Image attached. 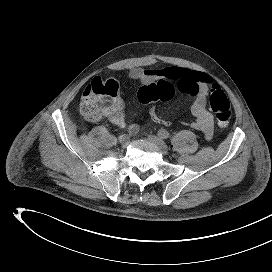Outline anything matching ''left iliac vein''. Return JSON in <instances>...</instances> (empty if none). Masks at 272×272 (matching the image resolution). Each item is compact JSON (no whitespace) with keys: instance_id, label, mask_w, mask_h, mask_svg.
I'll return each mask as SVG.
<instances>
[{"instance_id":"4c4485c4","label":"left iliac vein","mask_w":272,"mask_h":272,"mask_svg":"<svg viewBox=\"0 0 272 272\" xmlns=\"http://www.w3.org/2000/svg\"><path fill=\"white\" fill-rule=\"evenodd\" d=\"M148 140L153 145H155L160 150V152L162 154H164V155L168 154V146L166 145V143L162 139H160L159 137L154 136V135H149Z\"/></svg>"}]
</instances>
